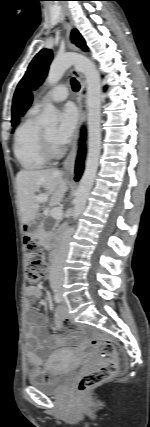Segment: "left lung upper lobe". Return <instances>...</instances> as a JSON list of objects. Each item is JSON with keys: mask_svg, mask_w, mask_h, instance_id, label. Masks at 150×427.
I'll list each match as a JSON object with an SVG mask.
<instances>
[{"mask_svg": "<svg viewBox=\"0 0 150 427\" xmlns=\"http://www.w3.org/2000/svg\"><path fill=\"white\" fill-rule=\"evenodd\" d=\"M71 39L77 46L87 51L84 39L81 37L79 32L74 29L71 33ZM52 60V51L50 49H42L31 61L24 77L19 82L12 105V125L16 124L18 109L21 103V99L25 92L29 89H36L43 82L47 75L49 65Z\"/></svg>", "mask_w": 150, "mask_h": 427, "instance_id": "5c2ea615", "label": "left lung upper lobe"}]
</instances>
